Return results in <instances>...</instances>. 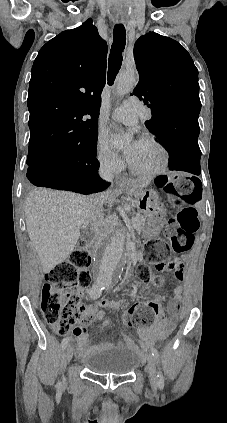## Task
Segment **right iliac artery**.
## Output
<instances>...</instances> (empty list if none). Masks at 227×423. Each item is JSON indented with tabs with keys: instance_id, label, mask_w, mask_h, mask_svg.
I'll use <instances>...</instances> for the list:
<instances>
[{
	"instance_id": "1",
	"label": "right iliac artery",
	"mask_w": 227,
	"mask_h": 423,
	"mask_svg": "<svg viewBox=\"0 0 227 423\" xmlns=\"http://www.w3.org/2000/svg\"><path fill=\"white\" fill-rule=\"evenodd\" d=\"M103 289H104V285H103V284H96V285H93V286H92L91 293H90L91 297H92L93 299L98 298V297L100 296V294H101V292H102V290H103ZM69 340H70V338H69V337H66V338H64V339L62 340V342H61V347H62V349H63V350H65V349H66V347H67V345H68ZM57 387H58V388H61V382H58V383H57Z\"/></svg>"
}]
</instances>
